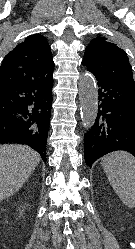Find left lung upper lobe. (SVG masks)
I'll list each match as a JSON object with an SVG mask.
<instances>
[{
    "instance_id": "5c2ea615",
    "label": "left lung upper lobe",
    "mask_w": 135,
    "mask_h": 249,
    "mask_svg": "<svg viewBox=\"0 0 135 249\" xmlns=\"http://www.w3.org/2000/svg\"><path fill=\"white\" fill-rule=\"evenodd\" d=\"M95 76L135 86L132 67L126 53L106 37L94 38L85 49L82 61Z\"/></svg>"
}]
</instances>
